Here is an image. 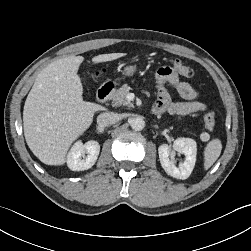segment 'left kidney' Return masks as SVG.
I'll return each mask as SVG.
<instances>
[{
    "label": "left kidney",
    "instance_id": "1",
    "mask_svg": "<svg viewBox=\"0 0 251 251\" xmlns=\"http://www.w3.org/2000/svg\"><path fill=\"white\" fill-rule=\"evenodd\" d=\"M185 155V160L176 166L174 152ZM159 160L165 172L177 179H187L196 162L197 144L191 138H177L172 146L162 144L158 148ZM171 157V158H170Z\"/></svg>",
    "mask_w": 251,
    "mask_h": 251
}]
</instances>
